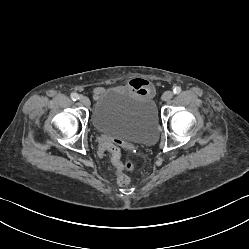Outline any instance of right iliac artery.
<instances>
[{
  "mask_svg": "<svg viewBox=\"0 0 249 249\" xmlns=\"http://www.w3.org/2000/svg\"><path fill=\"white\" fill-rule=\"evenodd\" d=\"M71 99L73 101H77L78 99H80V96L77 93H72L71 94Z\"/></svg>",
  "mask_w": 249,
  "mask_h": 249,
  "instance_id": "right-iliac-artery-1",
  "label": "right iliac artery"
}]
</instances>
